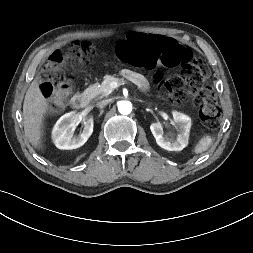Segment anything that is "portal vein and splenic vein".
<instances>
[{
  "label": "portal vein and splenic vein",
  "instance_id": "18ae733b",
  "mask_svg": "<svg viewBox=\"0 0 253 253\" xmlns=\"http://www.w3.org/2000/svg\"><path fill=\"white\" fill-rule=\"evenodd\" d=\"M121 84H124V82H112L110 84L111 88L115 89L117 87H119Z\"/></svg>",
  "mask_w": 253,
  "mask_h": 253
}]
</instances>
